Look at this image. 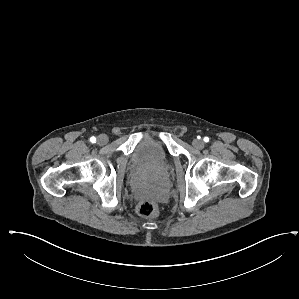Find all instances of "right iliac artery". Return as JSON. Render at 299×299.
Here are the masks:
<instances>
[{
    "label": "right iliac artery",
    "instance_id": "82829eb1",
    "mask_svg": "<svg viewBox=\"0 0 299 299\" xmlns=\"http://www.w3.org/2000/svg\"><path fill=\"white\" fill-rule=\"evenodd\" d=\"M90 142L95 143V142H96V138H95L94 136H92V137L90 138Z\"/></svg>",
    "mask_w": 299,
    "mask_h": 299
}]
</instances>
